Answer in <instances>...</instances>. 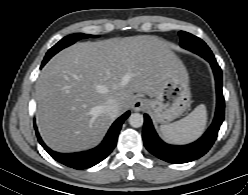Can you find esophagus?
Wrapping results in <instances>:
<instances>
[{"label": "esophagus", "mask_w": 248, "mask_h": 195, "mask_svg": "<svg viewBox=\"0 0 248 195\" xmlns=\"http://www.w3.org/2000/svg\"><path fill=\"white\" fill-rule=\"evenodd\" d=\"M147 105V101L143 98H136L132 103V108L134 111H141Z\"/></svg>", "instance_id": "1"}]
</instances>
